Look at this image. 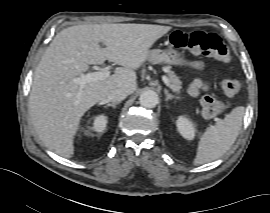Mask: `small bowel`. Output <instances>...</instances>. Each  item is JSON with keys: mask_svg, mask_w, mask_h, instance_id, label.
I'll return each mask as SVG.
<instances>
[{"mask_svg": "<svg viewBox=\"0 0 270 213\" xmlns=\"http://www.w3.org/2000/svg\"><path fill=\"white\" fill-rule=\"evenodd\" d=\"M204 89H205V84L201 80H195L189 85L188 92L191 95H198L200 91Z\"/></svg>", "mask_w": 270, "mask_h": 213, "instance_id": "c3829d8e", "label": "small bowel"}]
</instances>
